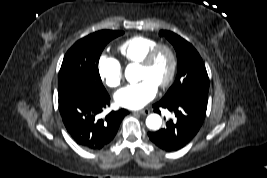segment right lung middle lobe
<instances>
[{"mask_svg": "<svg viewBox=\"0 0 267 178\" xmlns=\"http://www.w3.org/2000/svg\"><path fill=\"white\" fill-rule=\"evenodd\" d=\"M122 34V31L101 30L78 40L63 59L58 90L84 86L107 92L99 75V58L106 44Z\"/></svg>", "mask_w": 267, "mask_h": 178, "instance_id": "right-lung-middle-lobe-1", "label": "right lung middle lobe"}]
</instances>
